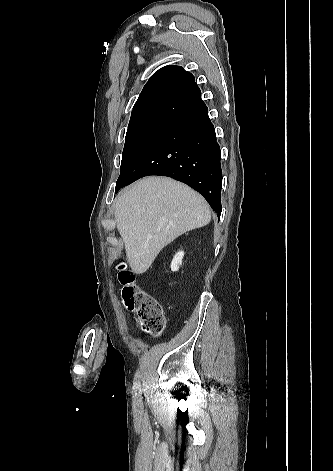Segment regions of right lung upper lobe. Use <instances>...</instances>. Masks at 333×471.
Here are the masks:
<instances>
[{
  "label": "right lung upper lobe",
  "mask_w": 333,
  "mask_h": 471,
  "mask_svg": "<svg viewBox=\"0 0 333 471\" xmlns=\"http://www.w3.org/2000/svg\"><path fill=\"white\" fill-rule=\"evenodd\" d=\"M201 101V92L191 73L179 66L158 70L144 86L131 117L156 115L178 119Z\"/></svg>",
  "instance_id": "right-lung-upper-lobe-1"
}]
</instances>
